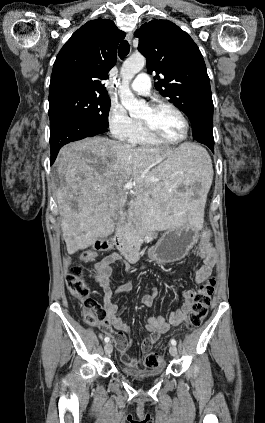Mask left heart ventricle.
<instances>
[{"label": "left heart ventricle", "instance_id": "1", "mask_svg": "<svg viewBox=\"0 0 265 423\" xmlns=\"http://www.w3.org/2000/svg\"><path fill=\"white\" fill-rule=\"evenodd\" d=\"M140 121L151 123L161 135L170 140H178L184 135L182 119L169 108L152 111L147 107Z\"/></svg>", "mask_w": 265, "mask_h": 423}]
</instances>
